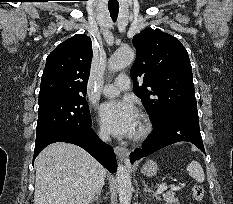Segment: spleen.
Instances as JSON below:
<instances>
[{"label": "spleen", "instance_id": "3e777b00", "mask_svg": "<svg viewBox=\"0 0 233 204\" xmlns=\"http://www.w3.org/2000/svg\"><path fill=\"white\" fill-rule=\"evenodd\" d=\"M187 172L191 177H193L197 182L203 183L205 180L204 171L198 161H191L187 166Z\"/></svg>", "mask_w": 233, "mask_h": 204}]
</instances>
